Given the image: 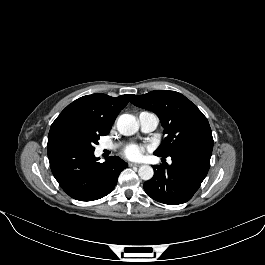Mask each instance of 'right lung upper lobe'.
<instances>
[{
    "mask_svg": "<svg viewBox=\"0 0 265 265\" xmlns=\"http://www.w3.org/2000/svg\"><path fill=\"white\" fill-rule=\"evenodd\" d=\"M131 97V94L111 97L96 93L75 100L60 113L51 125L47 147L51 148L52 133L66 124H79L108 134L117 115Z\"/></svg>",
    "mask_w": 265,
    "mask_h": 265,
    "instance_id": "cb5924a9",
    "label": "right lung upper lobe"
}]
</instances>
